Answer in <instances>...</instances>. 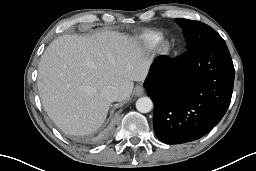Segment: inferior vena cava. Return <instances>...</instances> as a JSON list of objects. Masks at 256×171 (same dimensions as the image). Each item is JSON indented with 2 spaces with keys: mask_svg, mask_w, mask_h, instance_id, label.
Here are the masks:
<instances>
[{
  "mask_svg": "<svg viewBox=\"0 0 256 171\" xmlns=\"http://www.w3.org/2000/svg\"><path fill=\"white\" fill-rule=\"evenodd\" d=\"M102 95L110 102H114L118 100L119 91L115 86H106L102 90Z\"/></svg>",
  "mask_w": 256,
  "mask_h": 171,
  "instance_id": "obj_1",
  "label": "inferior vena cava"
}]
</instances>
